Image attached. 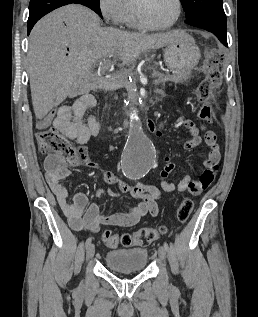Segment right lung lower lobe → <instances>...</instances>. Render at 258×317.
<instances>
[{"mask_svg":"<svg viewBox=\"0 0 258 317\" xmlns=\"http://www.w3.org/2000/svg\"><path fill=\"white\" fill-rule=\"evenodd\" d=\"M71 3L87 6L88 8L95 11L101 18H103L99 7V2L96 0H31L29 4V18L27 25L28 35L30 34L34 24L44 15L58 7Z\"/></svg>","mask_w":258,"mask_h":317,"instance_id":"1","label":"right lung lower lobe"}]
</instances>
